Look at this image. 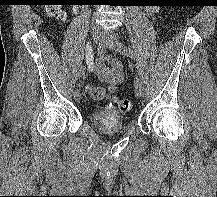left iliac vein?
<instances>
[{"label":"left iliac vein","mask_w":217,"mask_h":197,"mask_svg":"<svg viewBox=\"0 0 217 197\" xmlns=\"http://www.w3.org/2000/svg\"><path fill=\"white\" fill-rule=\"evenodd\" d=\"M101 41L110 50H117L116 45H115V36L114 35L103 31ZM134 87H135L136 96H138L139 98H142L144 96V85H143L142 80L139 77H135Z\"/></svg>","instance_id":"1"}]
</instances>
